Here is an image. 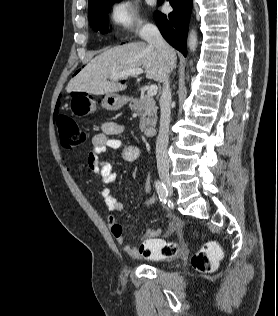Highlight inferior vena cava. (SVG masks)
<instances>
[{
  "label": "inferior vena cava",
  "instance_id": "obj_1",
  "mask_svg": "<svg viewBox=\"0 0 278 316\" xmlns=\"http://www.w3.org/2000/svg\"><path fill=\"white\" fill-rule=\"evenodd\" d=\"M142 38L147 41L148 44L153 45L161 54L166 63L169 62L171 55V48L163 39L157 26L153 24H145L142 32ZM160 103V128L159 135L156 141V159L157 169L159 173L169 171V159L167 153L168 141H169V124H170V104H171V90L169 83V74L166 75L163 81V90L159 100Z\"/></svg>",
  "mask_w": 278,
  "mask_h": 316
}]
</instances>
